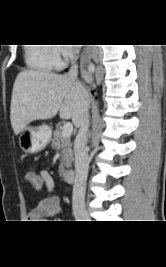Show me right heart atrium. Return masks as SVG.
Wrapping results in <instances>:
<instances>
[{
	"label": "right heart atrium",
	"mask_w": 166,
	"mask_h": 267,
	"mask_svg": "<svg viewBox=\"0 0 166 267\" xmlns=\"http://www.w3.org/2000/svg\"><path fill=\"white\" fill-rule=\"evenodd\" d=\"M55 54L59 60L60 66L63 65V61L73 55L71 48L67 46H56L54 48Z\"/></svg>",
	"instance_id": "right-heart-atrium-1"
}]
</instances>
